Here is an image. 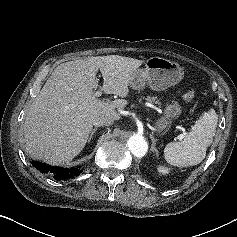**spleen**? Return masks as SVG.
Instances as JSON below:
<instances>
[{
    "label": "spleen",
    "instance_id": "1",
    "mask_svg": "<svg viewBox=\"0 0 237 237\" xmlns=\"http://www.w3.org/2000/svg\"><path fill=\"white\" fill-rule=\"evenodd\" d=\"M218 122V115L211 108L196 121L181 142L167 144L164 157L176 167L194 166L203 161Z\"/></svg>",
    "mask_w": 237,
    "mask_h": 237
}]
</instances>
